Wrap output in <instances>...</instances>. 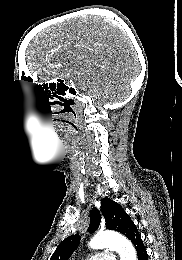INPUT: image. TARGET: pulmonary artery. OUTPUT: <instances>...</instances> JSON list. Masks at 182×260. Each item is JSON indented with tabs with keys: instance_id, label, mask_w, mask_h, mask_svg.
Segmentation results:
<instances>
[{
	"instance_id": "obj_1",
	"label": "pulmonary artery",
	"mask_w": 182,
	"mask_h": 260,
	"mask_svg": "<svg viewBox=\"0 0 182 260\" xmlns=\"http://www.w3.org/2000/svg\"><path fill=\"white\" fill-rule=\"evenodd\" d=\"M89 260H115V257L110 252H102L94 255Z\"/></svg>"
}]
</instances>
